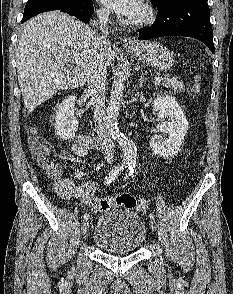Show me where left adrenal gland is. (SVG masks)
Segmentation results:
<instances>
[{"label": "left adrenal gland", "mask_w": 233, "mask_h": 294, "mask_svg": "<svg viewBox=\"0 0 233 294\" xmlns=\"http://www.w3.org/2000/svg\"><path fill=\"white\" fill-rule=\"evenodd\" d=\"M146 81L145 74H142L139 80V87H142V84Z\"/></svg>", "instance_id": "a2214340"}]
</instances>
